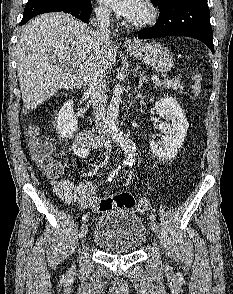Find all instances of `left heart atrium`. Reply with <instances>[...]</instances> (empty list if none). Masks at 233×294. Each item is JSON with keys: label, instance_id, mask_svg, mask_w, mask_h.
Here are the masks:
<instances>
[{"label": "left heart atrium", "instance_id": "left-heart-atrium-1", "mask_svg": "<svg viewBox=\"0 0 233 294\" xmlns=\"http://www.w3.org/2000/svg\"><path fill=\"white\" fill-rule=\"evenodd\" d=\"M117 14L132 20L142 9L143 0H100Z\"/></svg>", "mask_w": 233, "mask_h": 294}]
</instances>
